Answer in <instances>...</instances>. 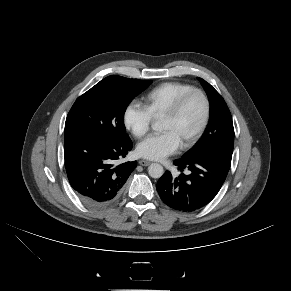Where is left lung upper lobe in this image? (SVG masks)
Instances as JSON below:
<instances>
[{
	"mask_svg": "<svg viewBox=\"0 0 291 291\" xmlns=\"http://www.w3.org/2000/svg\"><path fill=\"white\" fill-rule=\"evenodd\" d=\"M210 102V120L200 142L183 157H191L207 152L233 153L234 128L228 106L222 96L203 79H199Z\"/></svg>",
	"mask_w": 291,
	"mask_h": 291,
	"instance_id": "left-lung-upper-lobe-1",
	"label": "left lung upper lobe"
}]
</instances>
